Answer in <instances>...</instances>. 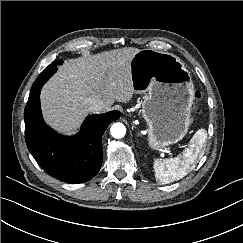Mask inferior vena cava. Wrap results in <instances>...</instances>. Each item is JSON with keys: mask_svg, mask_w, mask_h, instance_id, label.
Returning <instances> with one entry per match:
<instances>
[{"mask_svg": "<svg viewBox=\"0 0 243 243\" xmlns=\"http://www.w3.org/2000/svg\"><path fill=\"white\" fill-rule=\"evenodd\" d=\"M85 104L92 112H100L106 108V104L97 97H88L85 100Z\"/></svg>", "mask_w": 243, "mask_h": 243, "instance_id": "1", "label": "inferior vena cava"}]
</instances>
